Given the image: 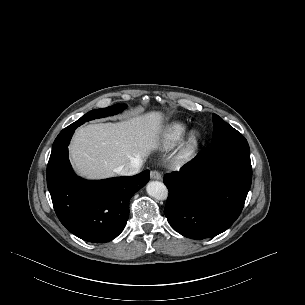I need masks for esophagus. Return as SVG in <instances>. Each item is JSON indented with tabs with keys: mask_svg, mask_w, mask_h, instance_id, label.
I'll return each mask as SVG.
<instances>
[{
	"mask_svg": "<svg viewBox=\"0 0 305 305\" xmlns=\"http://www.w3.org/2000/svg\"><path fill=\"white\" fill-rule=\"evenodd\" d=\"M150 177H151V179H153V180H161V178H162L160 172L157 171V170L151 171Z\"/></svg>",
	"mask_w": 305,
	"mask_h": 305,
	"instance_id": "esophagus-1",
	"label": "esophagus"
}]
</instances>
